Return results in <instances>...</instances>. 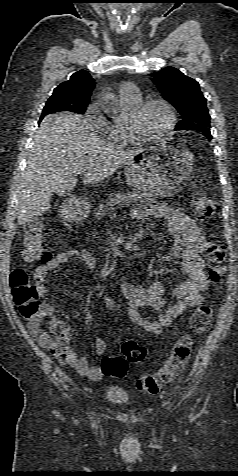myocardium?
Instances as JSON below:
<instances>
[{
	"label": "myocardium",
	"instance_id": "myocardium-1",
	"mask_svg": "<svg viewBox=\"0 0 238 476\" xmlns=\"http://www.w3.org/2000/svg\"><path fill=\"white\" fill-rule=\"evenodd\" d=\"M153 104H159L163 106L168 115L169 122L167 126L157 134H147L143 132L136 123L138 117L146 110L147 107ZM177 117L174 107L165 99L162 98H147L141 100L135 107H133L127 116V127L133 138L139 142H147L164 138L169 135L176 126Z\"/></svg>",
	"mask_w": 238,
	"mask_h": 476
}]
</instances>
